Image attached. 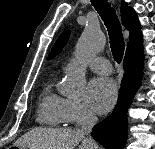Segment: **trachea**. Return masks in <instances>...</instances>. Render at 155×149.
I'll return each instance as SVG.
<instances>
[{"instance_id":"obj_1","label":"trachea","mask_w":155,"mask_h":149,"mask_svg":"<svg viewBox=\"0 0 155 149\" xmlns=\"http://www.w3.org/2000/svg\"><path fill=\"white\" fill-rule=\"evenodd\" d=\"M91 3L101 16L108 30L110 47L114 60L120 63L124 54V39L122 27L115 9L111 7L108 0H91Z\"/></svg>"}]
</instances>
